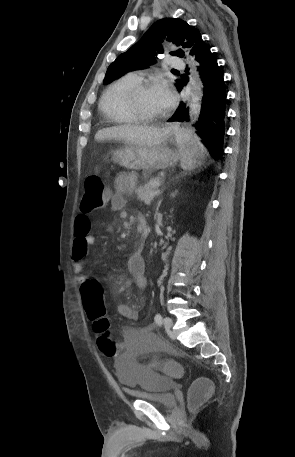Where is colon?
Here are the masks:
<instances>
[{"mask_svg":"<svg viewBox=\"0 0 295 457\" xmlns=\"http://www.w3.org/2000/svg\"><path fill=\"white\" fill-rule=\"evenodd\" d=\"M109 198L108 191L102 177L98 173L90 174L85 180V191L81 202V210L85 213L92 212L105 206ZM83 303L88 318L93 323L95 338L98 345L99 355H105L109 360H122L123 352L119 344H114L109 332V321L106 317V310L102 300V277H93L83 286ZM162 370H170V365H162ZM179 370L181 367H175ZM174 374L172 371L169 373ZM186 376V371L179 373ZM204 380H197L189 390V404L192 407L199 405L212 391V384Z\"/></svg>","mask_w":295,"mask_h":457,"instance_id":"colon-1","label":"colon"}]
</instances>
